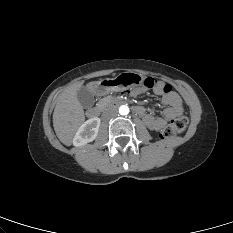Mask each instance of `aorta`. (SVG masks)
I'll use <instances>...</instances> for the list:
<instances>
[{
  "label": "aorta",
  "mask_w": 233,
  "mask_h": 233,
  "mask_svg": "<svg viewBox=\"0 0 233 233\" xmlns=\"http://www.w3.org/2000/svg\"><path fill=\"white\" fill-rule=\"evenodd\" d=\"M119 113H120V115H123V116L127 115L129 113L128 106H126V105L120 106L119 107Z\"/></svg>",
  "instance_id": "762f6f07"
}]
</instances>
